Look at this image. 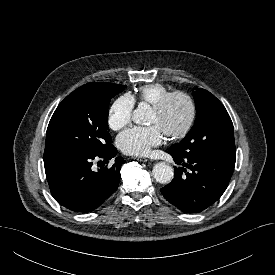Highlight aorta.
<instances>
[{"mask_svg":"<svg viewBox=\"0 0 275 275\" xmlns=\"http://www.w3.org/2000/svg\"><path fill=\"white\" fill-rule=\"evenodd\" d=\"M149 113V105H147L146 103H140L138 107L133 111L132 119L136 124L148 125ZM152 173L154 179L161 184H166L170 182L174 177L173 168L165 162H158L157 164H155Z\"/></svg>","mask_w":275,"mask_h":275,"instance_id":"762f6f07","label":"aorta"}]
</instances>
